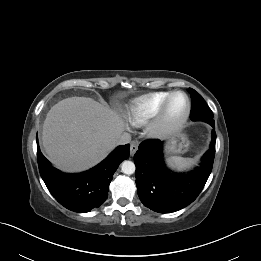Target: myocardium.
<instances>
[{
    "instance_id": "f54148a6",
    "label": "myocardium",
    "mask_w": 261,
    "mask_h": 261,
    "mask_svg": "<svg viewBox=\"0 0 261 261\" xmlns=\"http://www.w3.org/2000/svg\"><path fill=\"white\" fill-rule=\"evenodd\" d=\"M176 95L184 96V98L186 99V110L180 119L171 122L168 118V111L171 101ZM190 112L191 101L189 96L183 91L172 92L162 105L160 111L158 112L154 120L149 124V136L153 138H164L176 133L185 125L190 116Z\"/></svg>"
}]
</instances>
